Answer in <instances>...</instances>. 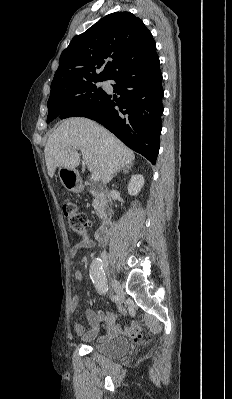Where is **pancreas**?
Here are the masks:
<instances>
[{"label":"pancreas","instance_id":"pancreas-1","mask_svg":"<svg viewBox=\"0 0 232 399\" xmlns=\"http://www.w3.org/2000/svg\"><path fill=\"white\" fill-rule=\"evenodd\" d=\"M92 196H94V200L92 201V205L100 219L106 221L108 215L111 213V209L108 205V198L104 196V194H96V192H91Z\"/></svg>","mask_w":232,"mask_h":399}]
</instances>
